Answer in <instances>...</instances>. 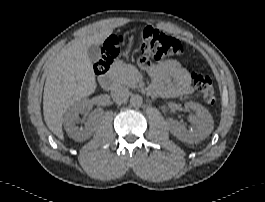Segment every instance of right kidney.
<instances>
[{
  "label": "right kidney",
  "mask_w": 265,
  "mask_h": 202,
  "mask_svg": "<svg viewBox=\"0 0 265 202\" xmlns=\"http://www.w3.org/2000/svg\"><path fill=\"white\" fill-rule=\"evenodd\" d=\"M90 101L86 98L75 102L65 113L63 123L64 128L68 136L75 141H85L89 139L94 131L97 129L98 124L103 115L101 109H96L92 111L87 121L84 123V127L79 128L76 125V120L79 114H84L87 112Z\"/></svg>",
  "instance_id": "1"
}]
</instances>
